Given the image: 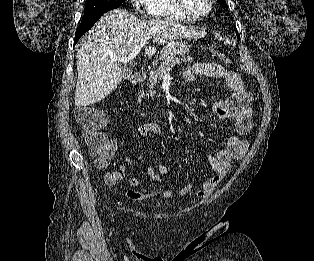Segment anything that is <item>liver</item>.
<instances>
[{
    "label": "liver",
    "instance_id": "6515ba94",
    "mask_svg": "<svg viewBox=\"0 0 314 261\" xmlns=\"http://www.w3.org/2000/svg\"><path fill=\"white\" fill-rule=\"evenodd\" d=\"M204 34L168 20H140L132 13L115 9L104 14L96 23L92 34L84 37L76 55L78 78L75 105L86 107L109 95L123 78L120 61L143 40L164 45L177 39H196ZM155 47H147L145 53L152 55Z\"/></svg>",
    "mask_w": 314,
    "mask_h": 261
}]
</instances>
